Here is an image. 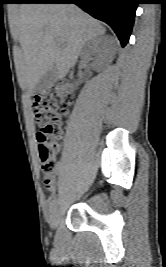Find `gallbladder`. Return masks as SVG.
I'll return each instance as SVG.
<instances>
[{"label": "gallbladder", "mask_w": 166, "mask_h": 267, "mask_svg": "<svg viewBox=\"0 0 166 267\" xmlns=\"http://www.w3.org/2000/svg\"><path fill=\"white\" fill-rule=\"evenodd\" d=\"M57 72V66L53 65V67L45 72L44 75L40 78L34 90L32 91V94L42 93L53 86L57 79Z\"/></svg>", "instance_id": "obj_1"}]
</instances>
